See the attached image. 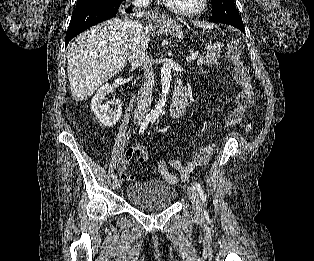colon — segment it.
Masks as SVG:
<instances>
[{"mask_svg": "<svg viewBox=\"0 0 314 261\" xmlns=\"http://www.w3.org/2000/svg\"><path fill=\"white\" fill-rule=\"evenodd\" d=\"M240 44L237 41H230L228 48V57L233 65V75L236 82L241 86V90L237 95V106L230 113L226 128L230 129L240 123L246 110L252 107L254 103V91L252 87L251 74L248 68L240 59ZM214 151V146L209 145L199 149L193 159L185 166L187 169L200 166L207 163ZM144 161L143 157H140Z\"/></svg>", "mask_w": 314, "mask_h": 261, "instance_id": "1", "label": "colon"}]
</instances>
